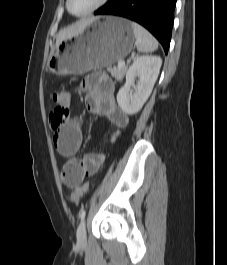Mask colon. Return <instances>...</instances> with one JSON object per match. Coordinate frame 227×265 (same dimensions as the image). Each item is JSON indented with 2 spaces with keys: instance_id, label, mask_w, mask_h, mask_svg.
<instances>
[{
  "instance_id": "colon-1",
  "label": "colon",
  "mask_w": 227,
  "mask_h": 265,
  "mask_svg": "<svg viewBox=\"0 0 227 265\" xmlns=\"http://www.w3.org/2000/svg\"><path fill=\"white\" fill-rule=\"evenodd\" d=\"M52 100L57 107L50 114V126L53 130H58L69 118L70 94L65 90H58L52 94ZM69 172L70 167L65 163L62 168V177H67ZM88 186L89 184L86 182L76 187L70 195L71 201L75 204L78 203L87 192Z\"/></svg>"
}]
</instances>
